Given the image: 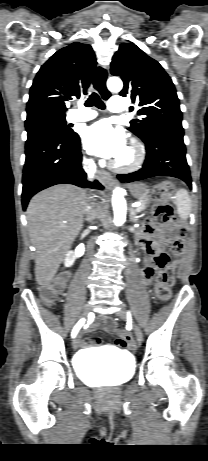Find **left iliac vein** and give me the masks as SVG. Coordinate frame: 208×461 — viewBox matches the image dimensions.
<instances>
[{"label": "left iliac vein", "instance_id": "left-iliac-vein-1", "mask_svg": "<svg viewBox=\"0 0 208 461\" xmlns=\"http://www.w3.org/2000/svg\"><path fill=\"white\" fill-rule=\"evenodd\" d=\"M117 316L120 317L121 319H124V320H128L129 318V315H128V312L125 308H121L118 312H117ZM132 322V325H133V328H134V332H135V335L137 337V340L139 342H141L143 340V333H142V330L141 328L139 327L138 324H136L133 320H131Z\"/></svg>", "mask_w": 208, "mask_h": 461}]
</instances>
